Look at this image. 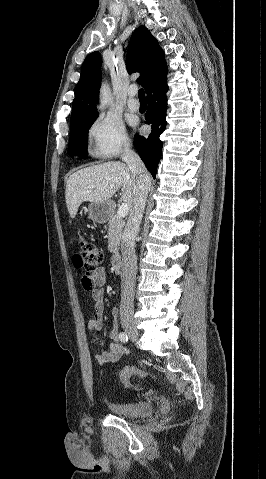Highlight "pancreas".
Masks as SVG:
<instances>
[{
  "instance_id": "pancreas-1",
  "label": "pancreas",
  "mask_w": 266,
  "mask_h": 479,
  "mask_svg": "<svg viewBox=\"0 0 266 479\" xmlns=\"http://www.w3.org/2000/svg\"><path fill=\"white\" fill-rule=\"evenodd\" d=\"M124 223L117 215L112 216L108 222V250L118 254Z\"/></svg>"
}]
</instances>
